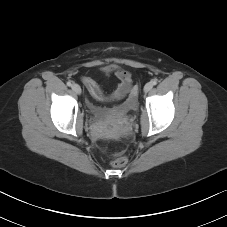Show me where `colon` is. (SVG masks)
Returning a JSON list of instances; mask_svg holds the SVG:
<instances>
[{
	"mask_svg": "<svg viewBox=\"0 0 227 227\" xmlns=\"http://www.w3.org/2000/svg\"><path fill=\"white\" fill-rule=\"evenodd\" d=\"M126 163H127V158L124 155H122V154H120L119 156H116L111 161V164L114 167H123Z\"/></svg>",
	"mask_w": 227,
	"mask_h": 227,
	"instance_id": "1",
	"label": "colon"
}]
</instances>
